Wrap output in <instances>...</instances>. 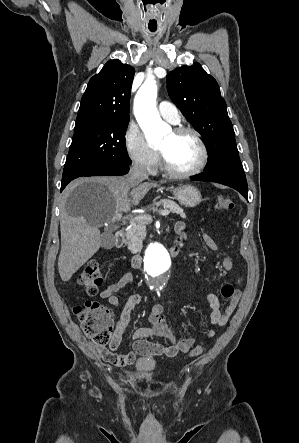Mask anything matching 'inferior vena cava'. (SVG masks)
<instances>
[{"instance_id": "obj_1", "label": "inferior vena cava", "mask_w": 299, "mask_h": 443, "mask_svg": "<svg viewBox=\"0 0 299 443\" xmlns=\"http://www.w3.org/2000/svg\"><path fill=\"white\" fill-rule=\"evenodd\" d=\"M129 179L132 184L148 179V173L144 166L134 164L129 172Z\"/></svg>"}]
</instances>
